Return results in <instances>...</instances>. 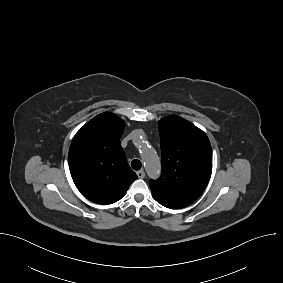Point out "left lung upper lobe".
I'll return each instance as SVG.
<instances>
[{
    "label": "left lung upper lobe",
    "mask_w": 283,
    "mask_h": 283,
    "mask_svg": "<svg viewBox=\"0 0 283 283\" xmlns=\"http://www.w3.org/2000/svg\"><path fill=\"white\" fill-rule=\"evenodd\" d=\"M162 173L150 181L154 199L170 209L193 203L206 188L212 173V149L207 135L176 115L158 122Z\"/></svg>",
    "instance_id": "obj_1"
}]
</instances>
